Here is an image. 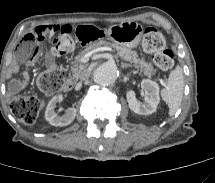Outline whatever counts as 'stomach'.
<instances>
[{
    "label": "stomach",
    "mask_w": 215,
    "mask_h": 183,
    "mask_svg": "<svg viewBox=\"0 0 215 183\" xmlns=\"http://www.w3.org/2000/svg\"><path fill=\"white\" fill-rule=\"evenodd\" d=\"M103 33L112 42L122 47L135 48L141 41L143 29L139 24L129 22L112 25L103 30Z\"/></svg>",
    "instance_id": "obj_1"
}]
</instances>
